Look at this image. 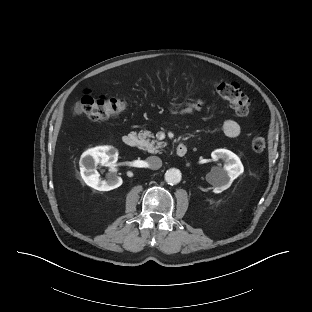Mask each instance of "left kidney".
Listing matches in <instances>:
<instances>
[{
    "label": "left kidney",
    "instance_id": "5707ae66",
    "mask_svg": "<svg viewBox=\"0 0 312 312\" xmlns=\"http://www.w3.org/2000/svg\"><path fill=\"white\" fill-rule=\"evenodd\" d=\"M214 161H224V167H213L209 173L211 184L214 186V193H221L229 188L234 179L244 172V167L239 157L227 149H217L211 153Z\"/></svg>",
    "mask_w": 312,
    "mask_h": 312
}]
</instances>
